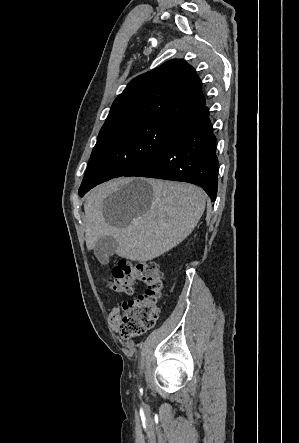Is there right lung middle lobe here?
Listing matches in <instances>:
<instances>
[{"label": "right lung middle lobe", "mask_w": 299, "mask_h": 443, "mask_svg": "<svg viewBox=\"0 0 299 443\" xmlns=\"http://www.w3.org/2000/svg\"><path fill=\"white\" fill-rule=\"evenodd\" d=\"M180 124L174 119L147 118L99 135L79 195L144 163L175 135Z\"/></svg>", "instance_id": "obj_1"}]
</instances>
